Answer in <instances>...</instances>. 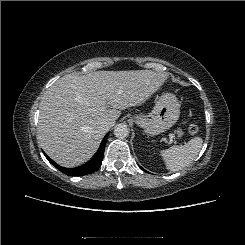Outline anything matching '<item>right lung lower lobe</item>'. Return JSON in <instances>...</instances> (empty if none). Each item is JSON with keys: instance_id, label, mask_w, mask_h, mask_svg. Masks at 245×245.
I'll list each match as a JSON object with an SVG mask.
<instances>
[{"instance_id": "right-lung-lower-lobe-1", "label": "right lung lower lobe", "mask_w": 245, "mask_h": 245, "mask_svg": "<svg viewBox=\"0 0 245 245\" xmlns=\"http://www.w3.org/2000/svg\"><path fill=\"white\" fill-rule=\"evenodd\" d=\"M109 133L104 137L101 146L98 150V152L96 153V155L87 163L79 166V167H75V168H64L59 166L58 164H56L52 159H50L46 154H44L46 156V158L49 160V162L54 165L57 169H59L61 172H63L64 174L70 175V176H83V175H87V174H91L94 171H96L102 164V160H103V154H104V150H105V144L107 141Z\"/></svg>"}]
</instances>
